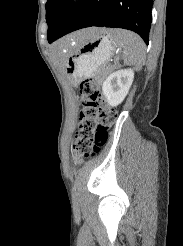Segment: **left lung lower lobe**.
<instances>
[{"label": "left lung lower lobe", "instance_id": "0a47b994", "mask_svg": "<svg viewBox=\"0 0 183 246\" xmlns=\"http://www.w3.org/2000/svg\"><path fill=\"white\" fill-rule=\"evenodd\" d=\"M154 0H83L63 30L49 43L86 27L123 28L139 34L149 43Z\"/></svg>", "mask_w": 183, "mask_h": 246}]
</instances>
